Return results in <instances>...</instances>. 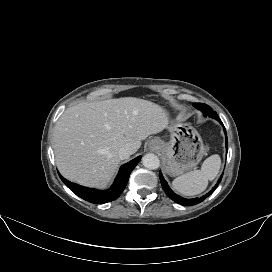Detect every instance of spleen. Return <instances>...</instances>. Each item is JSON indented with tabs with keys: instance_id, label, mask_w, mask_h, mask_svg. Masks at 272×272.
I'll return each instance as SVG.
<instances>
[{
	"instance_id": "spleen-1",
	"label": "spleen",
	"mask_w": 272,
	"mask_h": 272,
	"mask_svg": "<svg viewBox=\"0 0 272 272\" xmlns=\"http://www.w3.org/2000/svg\"><path fill=\"white\" fill-rule=\"evenodd\" d=\"M220 156L215 154L208 157L202 164L201 170H194L173 180V188L184 196H194L203 192L208 182L213 180L220 169Z\"/></svg>"
}]
</instances>
